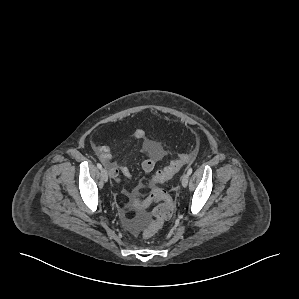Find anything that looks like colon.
<instances>
[{
	"label": "colon",
	"mask_w": 299,
	"mask_h": 299,
	"mask_svg": "<svg viewBox=\"0 0 299 299\" xmlns=\"http://www.w3.org/2000/svg\"><path fill=\"white\" fill-rule=\"evenodd\" d=\"M193 157V152L180 154L176 159L172 160L169 165L158 170L149 179L148 185L152 187V190L146 198L141 199L136 196L133 199V205L136 209H145L153 202L159 203L153 211L154 220L140 232L143 237L147 238L154 235L163 226L164 222L171 218L174 212L172 198L165 190L158 187V185L169 180L185 164L189 163Z\"/></svg>",
	"instance_id": "5ec220e1"
}]
</instances>
